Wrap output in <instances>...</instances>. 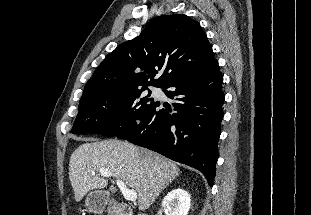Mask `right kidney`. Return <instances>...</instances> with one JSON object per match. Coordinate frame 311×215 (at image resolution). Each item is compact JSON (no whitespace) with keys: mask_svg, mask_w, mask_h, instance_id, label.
I'll use <instances>...</instances> for the list:
<instances>
[{"mask_svg":"<svg viewBox=\"0 0 311 215\" xmlns=\"http://www.w3.org/2000/svg\"><path fill=\"white\" fill-rule=\"evenodd\" d=\"M190 201V194L177 188L164 197L162 208L166 215H187L191 206Z\"/></svg>","mask_w":311,"mask_h":215,"instance_id":"right-kidney-1","label":"right kidney"}]
</instances>
